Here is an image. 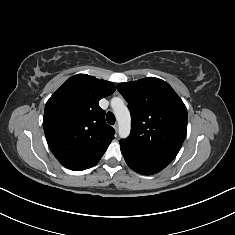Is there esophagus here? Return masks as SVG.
I'll return each instance as SVG.
<instances>
[{
  "mask_svg": "<svg viewBox=\"0 0 235 235\" xmlns=\"http://www.w3.org/2000/svg\"><path fill=\"white\" fill-rule=\"evenodd\" d=\"M113 128H114L116 131H118L119 125L116 123V124H114Z\"/></svg>",
  "mask_w": 235,
  "mask_h": 235,
  "instance_id": "esophagus-1",
  "label": "esophagus"
}]
</instances>
